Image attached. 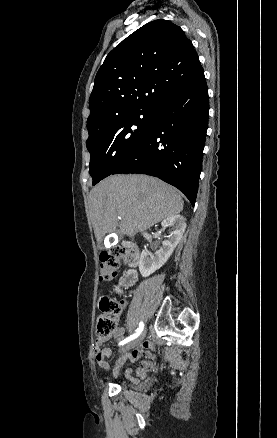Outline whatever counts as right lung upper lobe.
I'll return each mask as SVG.
<instances>
[{
    "label": "right lung upper lobe",
    "instance_id": "1",
    "mask_svg": "<svg viewBox=\"0 0 277 438\" xmlns=\"http://www.w3.org/2000/svg\"><path fill=\"white\" fill-rule=\"evenodd\" d=\"M203 72L179 26L163 19L149 22L113 49L97 72L87 129L116 116L154 109L163 96Z\"/></svg>",
    "mask_w": 277,
    "mask_h": 438
}]
</instances>
